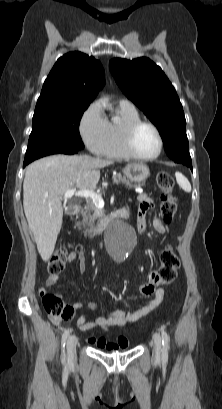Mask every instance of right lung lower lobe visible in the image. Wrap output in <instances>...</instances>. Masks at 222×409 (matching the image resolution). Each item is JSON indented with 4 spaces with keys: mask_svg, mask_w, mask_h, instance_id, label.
<instances>
[{
    "mask_svg": "<svg viewBox=\"0 0 222 409\" xmlns=\"http://www.w3.org/2000/svg\"><path fill=\"white\" fill-rule=\"evenodd\" d=\"M78 151H79V150H77V152H78ZM77 152H76V153H77ZM27 164H29V163L24 162V163H23V167H25Z\"/></svg>",
    "mask_w": 222,
    "mask_h": 409,
    "instance_id": "obj_1",
    "label": "right lung lower lobe"
}]
</instances>
